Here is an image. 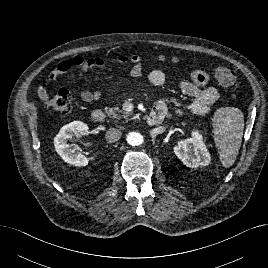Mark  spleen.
<instances>
[{
  "instance_id": "spleen-1",
  "label": "spleen",
  "mask_w": 268,
  "mask_h": 268,
  "mask_svg": "<svg viewBox=\"0 0 268 268\" xmlns=\"http://www.w3.org/2000/svg\"><path fill=\"white\" fill-rule=\"evenodd\" d=\"M244 129V115L234 107L217 109L213 119V137L221 164L230 167L238 156Z\"/></svg>"
}]
</instances>
